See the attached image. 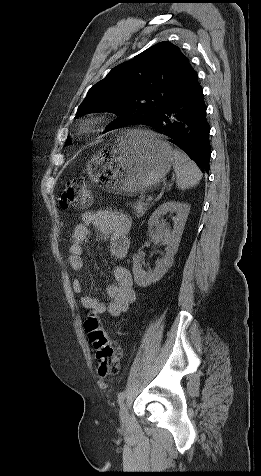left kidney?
Listing matches in <instances>:
<instances>
[{"instance_id": "left-kidney-1", "label": "left kidney", "mask_w": 261, "mask_h": 476, "mask_svg": "<svg viewBox=\"0 0 261 476\" xmlns=\"http://www.w3.org/2000/svg\"><path fill=\"white\" fill-rule=\"evenodd\" d=\"M190 211L187 203L169 201L160 205L150 216L148 221V235L158 244L166 245V254L162 259L156 261L153 270L145 271L142 268L141 256H133V275L138 286L146 287L151 283L159 281L168 269L172 266L174 255L178 251L184 226ZM176 213V222L173 229L165 228L160 225L159 219L166 213ZM156 227L157 231L153 233L152 228Z\"/></svg>"}]
</instances>
